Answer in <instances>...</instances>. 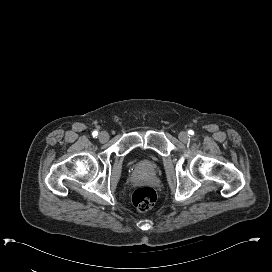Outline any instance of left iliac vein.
Here are the masks:
<instances>
[{
    "label": "left iliac vein",
    "instance_id": "left-iliac-vein-1",
    "mask_svg": "<svg viewBox=\"0 0 272 272\" xmlns=\"http://www.w3.org/2000/svg\"><path fill=\"white\" fill-rule=\"evenodd\" d=\"M178 138L181 142L186 143L189 140V135L187 132L182 131L179 133Z\"/></svg>",
    "mask_w": 272,
    "mask_h": 272
}]
</instances>
